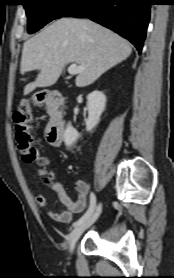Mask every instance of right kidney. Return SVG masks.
Masks as SVG:
<instances>
[{
	"label": "right kidney",
	"instance_id": "1",
	"mask_svg": "<svg viewBox=\"0 0 174 278\" xmlns=\"http://www.w3.org/2000/svg\"><path fill=\"white\" fill-rule=\"evenodd\" d=\"M106 96L103 92L95 90L87 96L88 119L86 130L91 131L100 121V117L105 110ZM80 137V134L71 126L70 123L64 132V141L67 147H71Z\"/></svg>",
	"mask_w": 174,
	"mask_h": 278
}]
</instances>
